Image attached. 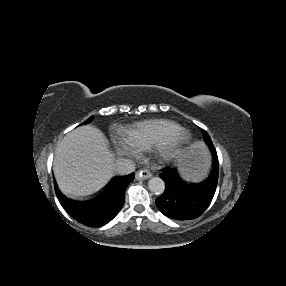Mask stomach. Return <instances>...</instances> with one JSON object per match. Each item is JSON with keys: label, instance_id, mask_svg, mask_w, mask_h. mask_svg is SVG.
<instances>
[{"label": "stomach", "instance_id": "0dacf381", "mask_svg": "<svg viewBox=\"0 0 286 286\" xmlns=\"http://www.w3.org/2000/svg\"><path fill=\"white\" fill-rule=\"evenodd\" d=\"M178 165L182 176L186 180H201L210 166V157L207 149L201 143L192 145L179 159Z\"/></svg>", "mask_w": 286, "mask_h": 286}]
</instances>
